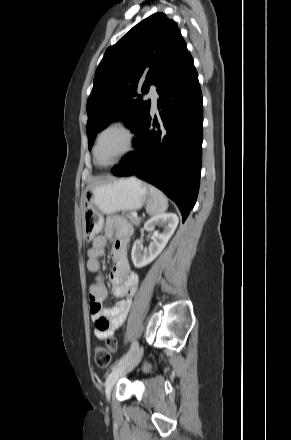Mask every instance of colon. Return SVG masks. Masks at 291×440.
Here are the masks:
<instances>
[{
  "instance_id": "1",
  "label": "colon",
  "mask_w": 291,
  "mask_h": 440,
  "mask_svg": "<svg viewBox=\"0 0 291 440\" xmlns=\"http://www.w3.org/2000/svg\"><path fill=\"white\" fill-rule=\"evenodd\" d=\"M102 323L105 325L109 324V321L107 319H103ZM108 349L104 348V347H96L95 349V354H94V358H95V363L97 364V366L101 367V368H105L110 364V351H116L118 348V344L117 341L113 338H110L108 340Z\"/></svg>"
}]
</instances>
